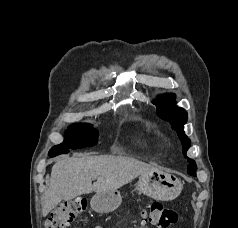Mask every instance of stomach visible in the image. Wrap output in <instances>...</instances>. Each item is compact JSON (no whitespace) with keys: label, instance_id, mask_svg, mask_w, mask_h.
<instances>
[{"label":"stomach","instance_id":"1","mask_svg":"<svg viewBox=\"0 0 238 228\" xmlns=\"http://www.w3.org/2000/svg\"><path fill=\"white\" fill-rule=\"evenodd\" d=\"M183 189L182 182L174 175L157 170L139 176L136 190L153 199L169 201L178 197ZM122 197L117 190L96 192L91 207L99 213L114 211L121 204Z\"/></svg>","mask_w":238,"mask_h":228}]
</instances>
